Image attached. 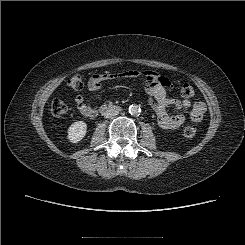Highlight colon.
Listing matches in <instances>:
<instances>
[{
	"label": "colon",
	"instance_id": "colon-1",
	"mask_svg": "<svg viewBox=\"0 0 245 245\" xmlns=\"http://www.w3.org/2000/svg\"><path fill=\"white\" fill-rule=\"evenodd\" d=\"M67 85L69 86V88H71L72 90L75 91H80L83 89L84 87V82L83 79L80 75H72L71 77H69V79L67 80ZM181 95L185 98H190L194 95V89L191 85L189 84H184L181 87ZM68 111V106L67 104L61 100V99H54L51 103V113L54 116H62L64 114H66ZM197 132L196 127L194 126H187L184 128L183 130V135L186 138H192L195 136Z\"/></svg>",
	"mask_w": 245,
	"mask_h": 245
}]
</instances>
